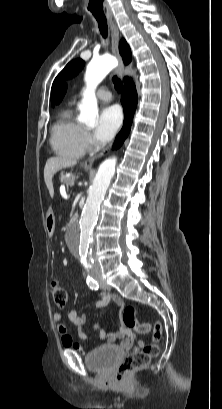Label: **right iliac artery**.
<instances>
[{
    "label": "right iliac artery",
    "mask_w": 222,
    "mask_h": 409,
    "mask_svg": "<svg viewBox=\"0 0 222 409\" xmlns=\"http://www.w3.org/2000/svg\"><path fill=\"white\" fill-rule=\"evenodd\" d=\"M87 285L89 286L90 289L92 290H98L99 285L97 281H95L92 277L88 276L87 277Z\"/></svg>",
    "instance_id": "82829eb1"
}]
</instances>
